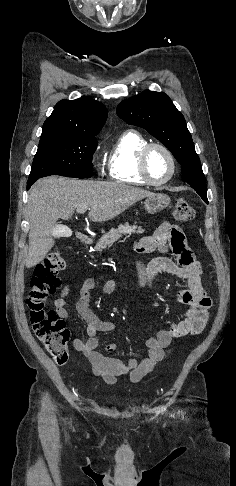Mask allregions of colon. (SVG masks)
I'll return each instance as SVG.
<instances>
[{"label": "colon", "mask_w": 236, "mask_h": 486, "mask_svg": "<svg viewBox=\"0 0 236 486\" xmlns=\"http://www.w3.org/2000/svg\"><path fill=\"white\" fill-rule=\"evenodd\" d=\"M174 218L180 224H187L195 218V211L188 201L179 199L175 204ZM64 267V259L58 250L48 253L35 269L26 298L32 329L58 364L68 361L70 332L55 311L45 310V301L61 285L59 273Z\"/></svg>", "instance_id": "5ec220e1"}]
</instances>
